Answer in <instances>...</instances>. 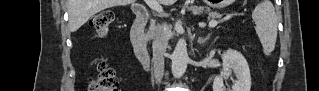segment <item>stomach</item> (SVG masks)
I'll use <instances>...</instances> for the list:
<instances>
[{"instance_id":"0dacf381","label":"stomach","mask_w":319,"mask_h":91,"mask_svg":"<svg viewBox=\"0 0 319 91\" xmlns=\"http://www.w3.org/2000/svg\"><path fill=\"white\" fill-rule=\"evenodd\" d=\"M210 6L211 7H214V8H222L225 6V3L224 2H221V1H212L210 3Z\"/></svg>"}]
</instances>
